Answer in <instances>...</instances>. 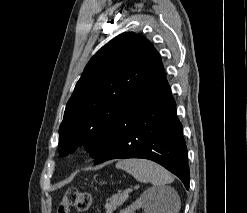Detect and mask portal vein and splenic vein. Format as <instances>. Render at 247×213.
<instances>
[{"instance_id":"18ae733b","label":"portal vein and splenic vein","mask_w":247,"mask_h":213,"mask_svg":"<svg viewBox=\"0 0 247 213\" xmlns=\"http://www.w3.org/2000/svg\"><path fill=\"white\" fill-rule=\"evenodd\" d=\"M130 192H132V189H131V188H128V189H126V190L123 191V195L128 196V194H129Z\"/></svg>"}]
</instances>
